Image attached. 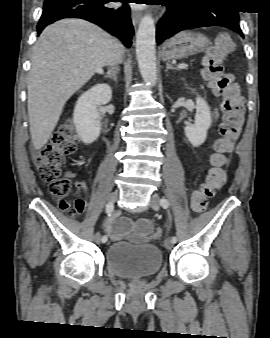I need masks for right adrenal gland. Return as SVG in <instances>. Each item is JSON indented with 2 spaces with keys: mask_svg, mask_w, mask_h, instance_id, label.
I'll return each mask as SVG.
<instances>
[{
  "mask_svg": "<svg viewBox=\"0 0 270 338\" xmlns=\"http://www.w3.org/2000/svg\"><path fill=\"white\" fill-rule=\"evenodd\" d=\"M119 72V68L117 66H109V69L106 74H104V77L110 78L113 81L117 82V74Z\"/></svg>",
  "mask_w": 270,
  "mask_h": 338,
  "instance_id": "1",
  "label": "right adrenal gland"
}]
</instances>
